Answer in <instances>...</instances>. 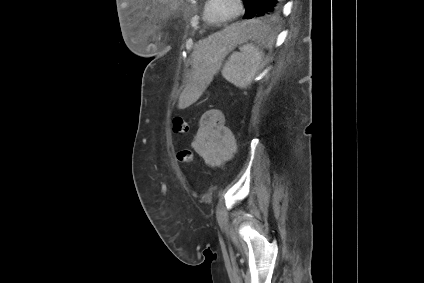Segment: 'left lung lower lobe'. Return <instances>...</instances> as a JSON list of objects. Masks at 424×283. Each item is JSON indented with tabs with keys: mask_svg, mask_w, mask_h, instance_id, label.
I'll return each mask as SVG.
<instances>
[{
	"mask_svg": "<svg viewBox=\"0 0 424 283\" xmlns=\"http://www.w3.org/2000/svg\"><path fill=\"white\" fill-rule=\"evenodd\" d=\"M283 0H259L254 18L274 13L282 6Z\"/></svg>",
	"mask_w": 424,
	"mask_h": 283,
	"instance_id": "0a47b994",
	"label": "left lung lower lobe"
}]
</instances>
